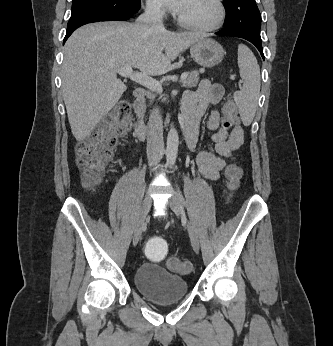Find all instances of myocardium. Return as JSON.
Here are the masks:
<instances>
[{"label": "myocardium", "instance_id": "obj_1", "mask_svg": "<svg viewBox=\"0 0 333 346\" xmlns=\"http://www.w3.org/2000/svg\"><path fill=\"white\" fill-rule=\"evenodd\" d=\"M213 3L216 6L217 15L215 20L212 23L207 25H201V24H197L189 20H186L180 15L177 16L178 23L185 28L192 29L199 32H212L219 29L225 21L226 8L223 3V0H213Z\"/></svg>", "mask_w": 333, "mask_h": 346}]
</instances>
